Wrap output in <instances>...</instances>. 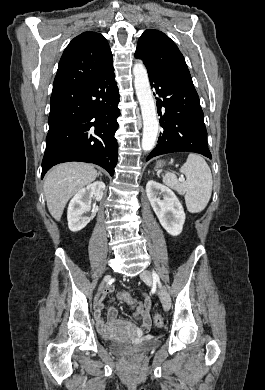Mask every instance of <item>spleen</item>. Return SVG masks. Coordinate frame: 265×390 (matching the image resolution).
I'll return each mask as SVG.
<instances>
[{"mask_svg":"<svg viewBox=\"0 0 265 390\" xmlns=\"http://www.w3.org/2000/svg\"><path fill=\"white\" fill-rule=\"evenodd\" d=\"M186 181L180 182L174 173L163 176V183L185 195L187 210L199 213L207 206L212 193V174L206 161L198 154H189L186 162L180 168Z\"/></svg>","mask_w":265,"mask_h":390,"instance_id":"1","label":"spleen"}]
</instances>
